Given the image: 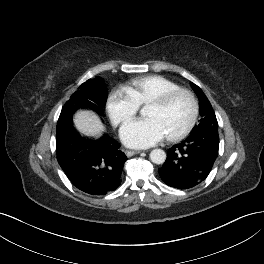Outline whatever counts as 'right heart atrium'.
<instances>
[{
  "label": "right heart atrium",
  "mask_w": 264,
  "mask_h": 264,
  "mask_svg": "<svg viewBox=\"0 0 264 264\" xmlns=\"http://www.w3.org/2000/svg\"><path fill=\"white\" fill-rule=\"evenodd\" d=\"M106 108L111 121L121 125L136 115L139 106L126 89L118 88L109 95Z\"/></svg>",
  "instance_id": "obj_1"
}]
</instances>
